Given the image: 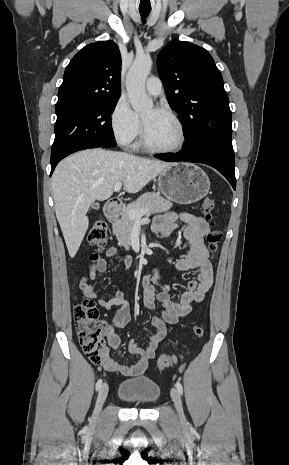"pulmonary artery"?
<instances>
[{"label":"pulmonary artery","mask_w":289,"mask_h":465,"mask_svg":"<svg viewBox=\"0 0 289 465\" xmlns=\"http://www.w3.org/2000/svg\"><path fill=\"white\" fill-rule=\"evenodd\" d=\"M146 91L151 96H158L162 92V83L158 77L151 76L146 81Z\"/></svg>","instance_id":"1"}]
</instances>
